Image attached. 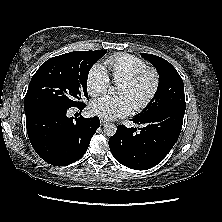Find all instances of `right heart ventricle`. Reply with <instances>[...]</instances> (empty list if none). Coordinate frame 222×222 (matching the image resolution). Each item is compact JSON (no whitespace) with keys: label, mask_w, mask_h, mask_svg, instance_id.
Here are the masks:
<instances>
[{"label":"right heart ventricle","mask_w":222,"mask_h":222,"mask_svg":"<svg viewBox=\"0 0 222 222\" xmlns=\"http://www.w3.org/2000/svg\"><path fill=\"white\" fill-rule=\"evenodd\" d=\"M104 66L116 83H121L138 70L144 68L146 63L133 55L116 54L105 60Z\"/></svg>","instance_id":"right-heart-ventricle-1"}]
</instances>
